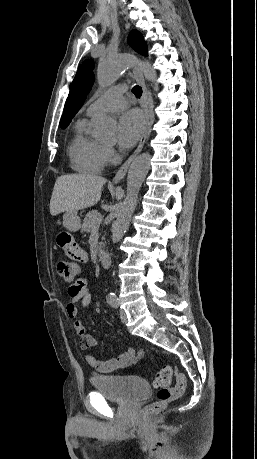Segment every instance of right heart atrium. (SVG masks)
Masks as SVG:
<instances>
[{
  "mask_svg": "<svg viewBox=\"0 0 257 459\" xmlns=\"http://www.w3.org/2000/svg\"><path fill=\"white\" fill-rule=\"evenodd\" d=\"M102 157L104 163H111L115 158V151L112 146L105 145L103 146Z\"/></svg>",
  "mask_w": 257,
  "mask_h": 459,
  "instance_id": "1",
  "label": "right heart atrium"
}]
</instances>
